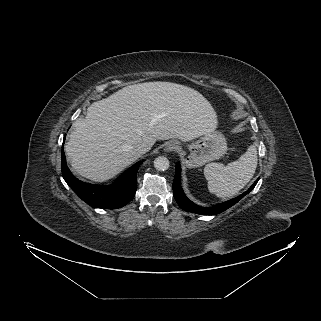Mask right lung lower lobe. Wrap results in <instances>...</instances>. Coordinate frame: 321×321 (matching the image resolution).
Listing matches in <instances>:
<instances>
[{
  "label": "right lung lower lobe",
  "instance_id": "1",
  "mask_svg": "<svg viewBox=\"0 0 321 321\" xmlns=\"http://www.w3.org/2000/svg\"><path fill=\"white\" fill-rule=\"evenodd\" d=\"M143 161L125 171L113 185H93L77 179L69 170L62 149V176L71 189L87 204L95 208L116 209L129 203L137 190L136 175Z\"/></svg>",
  "mask_w": 321,
  "mask_h": 321
}]
</instances>
